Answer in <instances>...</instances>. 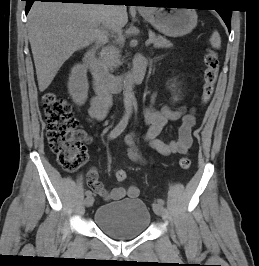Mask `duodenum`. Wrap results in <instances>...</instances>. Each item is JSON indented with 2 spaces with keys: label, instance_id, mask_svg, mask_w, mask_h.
I'll list each match as a JSON object with an SVG mask.
<instances>
[{
  "label": "duodenum",
  "instance_id": "duodenum-1",
  "mask_svg": "<svg viewBox=\"0 0 259 266\" xmlns=\"http://www.w3.org/2000/svg\"><path fill=\"white\" fill-rule=\"evenodd\" d=\"M102 42H97L84 54V61L92 72L96 89L101 91H116L126 84H138L142 82L146 68V59L139 57L135 61L134 68L127 74L115 75L109 73L98 61L97 50Z\"/></svg>",
  "mask_w": 259,
  "mask_h": 266
}]
</instances>
